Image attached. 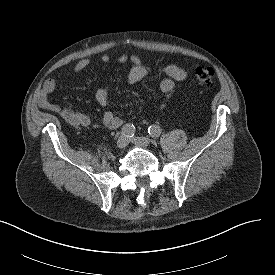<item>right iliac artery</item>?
Segmentation results:
<instances>
[{
    "mask_svg": "<svg viewBox=\"0 0 275 275\" xmlns=\"http://www.w3.org/2000/svg\"><path fill=\"white\" fill-rule=\"evenodd\" d=\"M121 133L122 135L131 138L135 134V127L133 126V124H126L123 126Z\"/></svg>",
    "mask_w": 275,
    "mask_h": 275,
    "instance_id": "1",
    "label": "right iliac artery"
}]
</instances>
